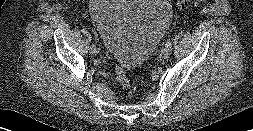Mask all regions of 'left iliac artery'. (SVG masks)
I'll return each mask as SVG.
<instances>
[{
  "label": "left iliac artery",
  "instance_id": "obj_1",
  "mask_svg": "<svg viewBox=\"0 0 253 131\" xmlns=\"http://www.w3.org/2000/svg\"><path fill=\"white\" fill-rule=\"evenodd\" d=\"M165 47H172V38L169 37L165 43Z\"/></svg>",
  "mask_w": 253,
  "mask_h": 131
}]
</instances>
